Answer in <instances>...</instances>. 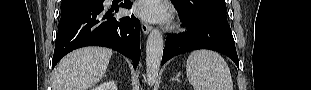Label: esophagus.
<instances>
[{
	"instance_id": "1",
	"label": "esophagus",
	"mask_w": 311,
	"mask_h": 90,
	"mask_svg": "<svg viewBox=\"0 0 311 90\" xmlns=\"http://www.w3.org/2000/svg\"><path fill=\"white\" fill-rule=\"evenodd\" d=\"M141 29H142V32L144 33V34H148L149 33V31L151 30V26L149 25V24H147L146 22H142L141 23Z\"/></svg>"
}]
</instances>
